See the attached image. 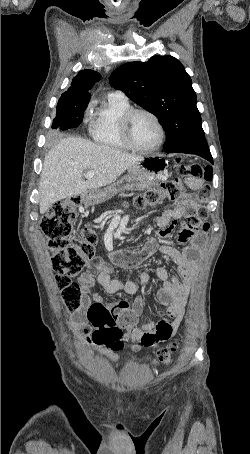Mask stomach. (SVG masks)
<instances>
[{
    "instance_id": "0dacf381",
    "label": "stomach",
    "mask_w": 250,
    "mask_h": 454,
    "mask_svg": "<svg viewBox=\"0 0 250 454\" xmlns=\"http://www.w3.org/2000/svg\"><path fill=\"white\" fill-rule=\"evenodd\" d=\"M166 176V163L157 157L146 158L128 169V174L117 183L103 189H93L81 194L85 205L99 204L125 189H148Z\"/></svg>"
}]
</instances>
